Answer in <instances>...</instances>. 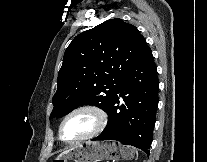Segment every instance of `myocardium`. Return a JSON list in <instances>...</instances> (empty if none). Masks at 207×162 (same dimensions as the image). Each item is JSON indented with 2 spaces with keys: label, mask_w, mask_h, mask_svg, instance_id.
<instances>
[{
  "label": "myocardium",
  "mask_w": 207,
  "mask_h": 162,
  "mask_svg": "<svg viewBox=\"0 0 207 162\" xmlns=\"http://www.w3.org/2000/svg\"><path fill=\"white\" fill-rule=\"evenodd\" d=\"M81 112H91L95 115V117H96L95 128L91 132H89L88 134H86L80 138H77L74 140H65L63 137V128H64L65 123L71 117H73L74 115L81 113ZM107 122H108V115L103 108H101L100 106L95 105V104H85V105H82V106L75 108L74 110H72L70 113H68L63 118V120L61 121L60 126H59V137L65 143L82 142V141L88 140L90 138H93V137L97 136L99 133H101L104 130V128L106 127Z\"/></svg>",
  "instance_id": "myocardium-1"
}]
</instances>
